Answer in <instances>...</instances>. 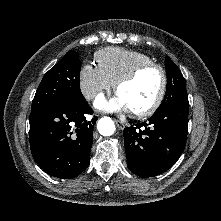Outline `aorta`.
I'll return each instance as SVG.
<instances>
[{"instance_id": "aorta-1", "label": "aorta", "mask_w": 221, "mask_h": 221, "mask_svg": "<svg viewBox=\"0 0 221 221\" xmlns=\"http://www.w3.org/2000/svg\"><path fill=\"white\" fill-rule=\"evenodd\" d=\"M98 131L103 136H110L115 131V125L111 118L103 117L98 121Z\"/></svg>"}]
</instances>
